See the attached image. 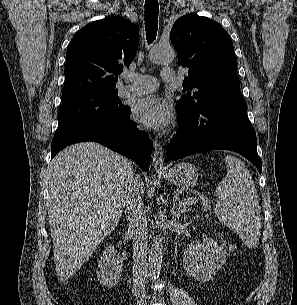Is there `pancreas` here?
<instances>
[{"instance_id":"cf45deb5","label":"pancreas","mask_w":297,"mask_h":305,"mask_svg":"<svg viewBox=\"0 0 297 305\" xmlns=\"http://www.w3.org/2000/svg\"><path fill=\"white\" fill-rule=\"evenodd\" d=\"M198 199H193L192 202H187V205L190 206L193 202L197 201ZM202 205L204 207V210H210V207L208 205V200L206 198H203V201H202Z\"/></svg>"}]
</instances>
